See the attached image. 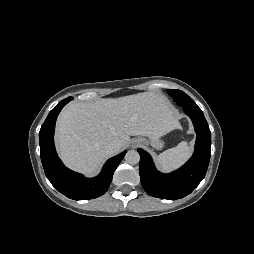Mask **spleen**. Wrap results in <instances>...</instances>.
Masks as SVG:
<instances>
[{
	"label": "spleen",
	"mask_w": 254,
	"mask_h": 254,
	"mask_svg": "<svg viewBox=\"0 0 254 254\" xmlns=\"http://www.w3.org/2000/svg\"><path fill=\"white\" fill-rule=\"evenodd\" d=\"M192 147L182 141L176 147L168 149L155 158L156 164L162 171L168 172L182 165L190 156Z\"/></svg>",
	"instance_id": "spleen-1"
}]
</instances>
